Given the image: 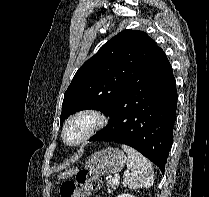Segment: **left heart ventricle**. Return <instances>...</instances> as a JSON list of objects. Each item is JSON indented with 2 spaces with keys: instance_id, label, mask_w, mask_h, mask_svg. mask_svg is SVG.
<instances>
[{
  "instance_id": "b2bd125f",
  "label": "left heart ventricle",
  "mask_w": 209,
  "mask_h": 197,
  "mask_svg": "<svg viewBox=\"0 0 209 197\" xmlns=\"http://www.w3.org/2000/svg\"><path fill=\"white\" fill-rule=\"evenodd\" d=\"M86 126V122L84 120L79 121L77 124L73 126L68 132H67V139L72 141L74 140L79 133L84 129Z\"/></svg>"
}]
</instances>
